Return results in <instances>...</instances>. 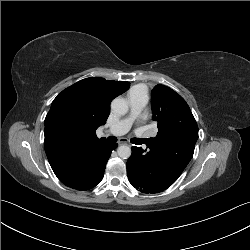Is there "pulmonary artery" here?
Returning <instances> with one entry per match:
<instances>
[{
	"label": "pulmonary artery",
	"instance_id": "1",
	"mask_svg": "<svg viewBox=\"0 0 250 250\" xmlns=\"http://www.w3.org/2000/svg\"><path fill=\"white\" fill-rule=\"evenodd\" d=\"M128 100L130 105L129 115L107 129V134L120 136L127 133L133 121L147 104L148 97L143 94H130Z\"/></svg>",
	"mask_w": 250,
	"mask_h": 250
}]
</instances>
